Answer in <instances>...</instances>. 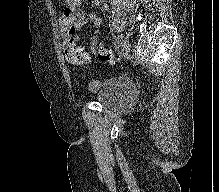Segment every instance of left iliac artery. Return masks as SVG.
<instances>
[{"mask_svg":"<svg viewBox=\"0 0 219 192\" xmlns=\"http://www.w3.org/2000/svg\"><path fill=\"white\" fill-rule=\"evenodd\" d=\"M115 43H116V47H117V48H120V46H121V42H120V40L117 39Z\"/></svg>","mask_w":219,"mask_h":192,"instance_id":"obj_1","label":"left iliac artery"}]
</instances>
